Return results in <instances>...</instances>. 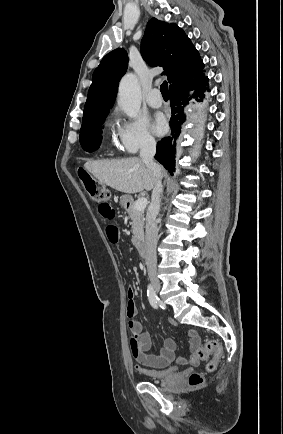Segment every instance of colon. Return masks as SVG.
<instances>
[{
    "label": "colon",
    "mask_w": 283,
    "mask_h": 434,
    "mask_svg": "<svg viewBox=\"0 0 283 434\" xmlns=\"http://www.w3.org/2000/svg\"><path fill=\"white\" fill-rule=\"evenodd\" d=\"M79 176L88 195L95 202L99 204L110 202L111 194L105 185L96 181L85 170H80ZM196 355L200 360L211 359L207 365V369L213 371L216 368L217 360L221 356V348L217 341L208 340L204 345L197 349ZM203 382L204 377L200 373H192L188 379V383L191 387H198L202 385Z\"/></svg>",
    "instance_id": "1"
}]
</instances>
